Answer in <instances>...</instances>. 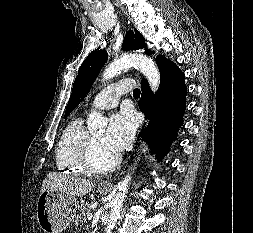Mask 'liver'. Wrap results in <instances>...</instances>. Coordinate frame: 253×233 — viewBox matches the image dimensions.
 I'll use <instances>...</instances> for the list:
<instances>
[{
	"instance_id": "1",
	"label": "liver",
	"mask_w": 253,
	"mask_h": 233,
	"mask_svg": "<svg viewBox=\"0 0 253 233\" xmlns=\"http://www.w3.org/2000/svg\"><path fill=\"white\" fill-rule=\"evenodd\" d=\"M95 187V183L61 174L51 172L47 175L41 186V192L46 190H56L67 194L68 196H84Z\"/></svg>"
}]
</instances>
